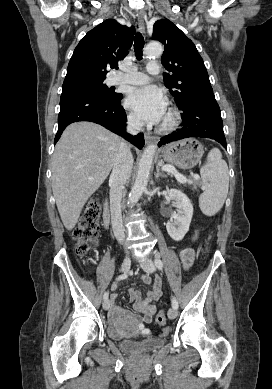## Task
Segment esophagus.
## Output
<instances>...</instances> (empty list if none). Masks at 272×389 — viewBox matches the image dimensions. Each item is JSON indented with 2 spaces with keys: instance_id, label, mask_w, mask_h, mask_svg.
Listing matches in <instances>:
<instances>
[{
  "instance_id": "1",
  "label": "esophagus",
  "mask_w": 272,
  "mask_h": 389,
  "mask_svg": "<svg viewBox=\"0 0 272 389\" xmlns=\"http://www.w3.org/2000/svg\"><path fill=\"white\" fill-rule=\"evenodd\" d=\"M137 19L140 32L145 33V12L143 10L137 13ZM145 141L147 144L152 143L154 137L150 133H145Z\"/></svg>"
}]
</instances>
